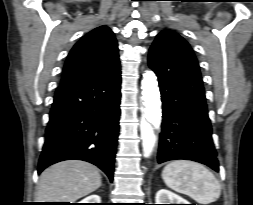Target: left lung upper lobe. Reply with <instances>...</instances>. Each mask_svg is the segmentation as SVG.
I'll return each mask as SVG.
<instances>
[{
	"label": "left lung upper lobe",
	"mask_w": 253,
	"mask_h": 205,
	"mask_svg": "<svg viewBox=\"0 0 253 205\" xmlns=\"http://www.w3.org/2000/svg\"><path fill=\"white\" fill-rule=\"evenodd\" d=\"M162 32H170V33H173V34H176L175 32L171 31V30H167V31H162ZM178 35V34H176ZM179 36V35H178ZM181 37V36H180Z\"/></svg>",
	"instance_id": "5c2ea615"
}]
</instances>
